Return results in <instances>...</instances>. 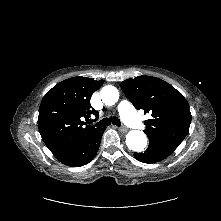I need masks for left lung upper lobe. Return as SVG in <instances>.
Here are the masks:
<instances>
[{
	"label": "left lung upper lobe",
	"mask_w": 221,
	"mask_h": 221,
	"mask_svg": "<svg viewBox=\"0 0 221 221\" xmlns=\"http://www.w3.org/2000/svg\"><path fill=\"white\" fill-rule=\"evenodd\" d=\"M126 97L136 109L150 112L144 121L149 145L175 150L189 131L191 113L184 96L167 82L152 76H138L121 82Z\"/></svg>",
	"instance_id": "5c2ea615"
}]
</instances>
